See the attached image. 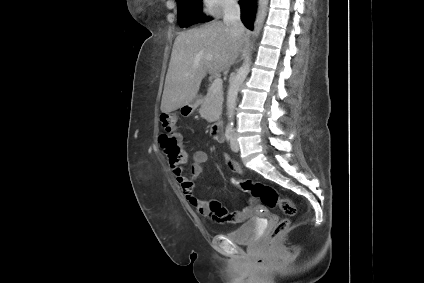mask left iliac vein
Wrapping results in <instances>:
<instances>
[{
    "instance_id": "4c4485c4",
    "label": "left iliac vein",
    "mask_w": 424,
    "mask_h": 283,
    "mask_svg": "<svg viewBox=\"0 0 424 283\" xmlns=\"http://www.w3.org/2000/svg\"><path fill=\"white\" fill-rule=\"evenodd\" d=\"M230 146H231V150L232 151H234V152H238L239 151V144H238L237 136H236V133L235 132H233V134H232Z\"/></svg>"
}]
</instances>
